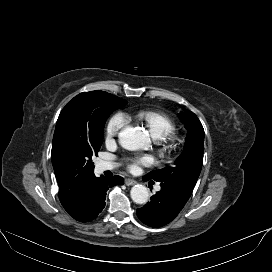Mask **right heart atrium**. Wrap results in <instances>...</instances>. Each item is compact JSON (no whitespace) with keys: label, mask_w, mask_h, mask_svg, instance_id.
Wrapping results in <instances>:
<instances>
[{"label":"right heart atrium","mask_w":272,"mask_h":272,"mask_svg":"<svg viewBox=\"0 0 272 272\" xmlns=\"http://www.w3.org/2000/svg\"><path fill=\"white\" fill-rule=\"evenodd\" d=\"M129 123V118L123 112L115 113L108 121L105 129V138L107 141L113 140L118 133Z\"/></svg>","instance_id":"1"}]
</instances>
